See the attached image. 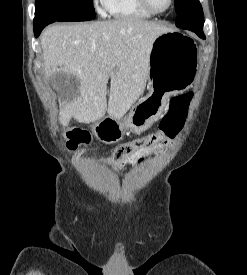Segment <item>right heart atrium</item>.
<instances>
[{
	"instance_id": "obj_1",
	"label": "right heart atrium",
	"mask_w": 247,
	"mask_h": 275,
	"mask_svg": "<svg viewBox=\"0 0 247 275\" xmlns=\"http://www.w3.org/2000/svg\"><path fill=\"white\" fill-rule=\"evenodd\" d=\"M92 4L100 15H105L108 12V0H93Z\"/></svg>"
}]
</instances>
